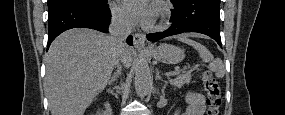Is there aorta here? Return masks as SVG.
Instances as JSON below:
<instances>
[{"instance_id":"obj_1","label":"aorta","mask_w":285,"mask_h":115,"mask_svg":"<svg viewBox=\"0 0 285 115\" xmlns=\"http://www.w3.org/2000/svg\"><path fill=\"white\" fill-rule=\"evenodd\" d=\"M135 90L140 97L146 96L152 85V77L148 63L140 59L135 69Z\"/></svg>"}]
</instances>
